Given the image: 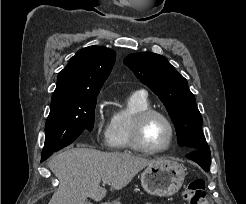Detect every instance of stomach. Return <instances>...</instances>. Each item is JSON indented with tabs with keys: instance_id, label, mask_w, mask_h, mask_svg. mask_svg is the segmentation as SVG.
<instances>
[{
	"instance_id": "obj_1",
	"label": "stomach",
	"mask_w": 246,
	"mask_h": 204,
	"mask_svg": "<svg viewBox=\"0 0 246 204\" xmlns=\"http://www.w3.org/2000/svg\"><path fill=\"white\" fill-rule=\"evenodd\" d=\"M185 169L182 164L160 159L148 166L141 174V185L145 192L158 197L172 196L181 188ZM112 204H120L118 201Z\"/></svg>"
}]
</instances>
